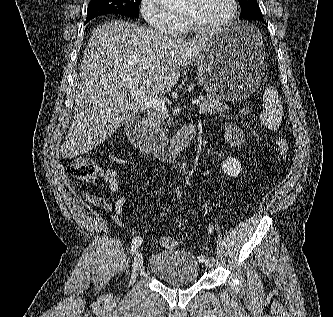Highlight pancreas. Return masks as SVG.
<instances>
[{"mask_svg":"<svg viewBox=\"0 0 333 317\" xmlns=\"http://www.w3.org/2000/svg\"><path fill=\"white\" fill-rule=\"evenodd\" d=\"M226 110H228V106L210 94L206 95L199 104L200 114L221 113ZM147 123L154 133L164 136L171 125V116L166 111L153 110L147 116Z\"/></svg>","mask_w":333,"mask_h":317,"instance_id":"obj_1","label":"pancreas"}]
</instances>
